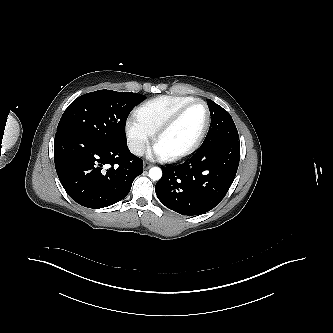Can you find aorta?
<instances>
[{
    "mask_svg": "<svg viewBox=\"0 0 333 333\" xmlns=\"http://www.w3.org/2000/svg\"><path fill=\"white\" fill-rule=\"evenodd\" d=\"M149 177L154 181L159 180L162 177V170L159 167H152L149 170Z\"/></svg>",
    "mask_w": 333,
    "mask_h": 333,
    "instance_id": "762f6f07",
    "label": "aorta"
}]
</instances>
